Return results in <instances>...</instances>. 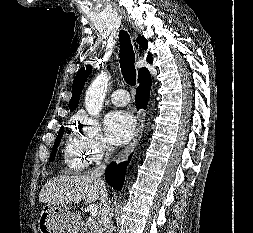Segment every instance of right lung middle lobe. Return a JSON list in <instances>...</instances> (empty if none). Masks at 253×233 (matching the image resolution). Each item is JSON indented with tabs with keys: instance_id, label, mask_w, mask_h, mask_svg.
Returning <instances> with one entry per match:
<instances>
[{
	"instance_id": "1",
	"label": "right lung middle lobe",
	"mask_w": 253,
	"mask_h": 233,
	"mask_svg": "<svg viewBox=\"0 0 253 233\" xmlns=\"http://www.w3.org/2000/svg\"><path fill=\"white\" fill-rule=\"evenodd\" d=\"M63 132H64V127H61V129H60V131L58 133L57 139L55 140V143H54L51 155H50V161H53L54 158H55L57 147H58V145H59V143L61 141V137L63 135Z\"/></svg>"
}]
</instances>
